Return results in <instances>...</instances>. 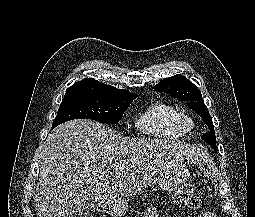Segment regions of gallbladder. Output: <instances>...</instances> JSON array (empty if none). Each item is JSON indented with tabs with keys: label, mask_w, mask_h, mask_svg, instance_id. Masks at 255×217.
<instances>
[{
	"label": "gallbladder",
	"mask_w": 255,
	"mask_h": 217,
	"mask_svg": "<svg viewBox=\"0 0 255 217\" xmlns=\"http://www.w3.org/2000/svg\"><path fill=\"white\" fill-rule=\"evenodd\" d=\"M96 206L91 201H80L71 210L69 217H93Z\"/></svg>",
	"instance_id": "bac80fb5"
}]
</instances>
